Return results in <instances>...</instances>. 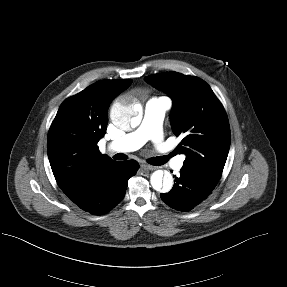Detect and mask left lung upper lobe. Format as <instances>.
Returning a JSON list of instances; mask_svg holds the SVG:
<instances>
[{"label":"left lung upper lobe","mask_w":287,"mask_h":287,"mask_svg":"<svg viewBox=\"0 0 287 287\" xmlns=\"http://www.w3.org/2000/svg\"><path fill=\"white\" fill-rule=\"evenodd\" d=\"M173 99L172 130L182 135L177 150L185 154V166L217 184L230 148L226 112L211 87L198 77L167 72L144 78Z\"/></svg>","instance_id":"obj_1"}]
</instances>
